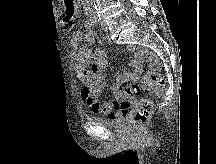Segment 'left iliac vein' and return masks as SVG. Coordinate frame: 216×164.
<instances>
[{
	"mask_svg": "<svg viewBox=\"0 0 216 164\" xmlns=\"http://www.w3.org/2000/svg\"><path fill=\"white\" fill-rule=\"evenodd\" d=\"M101 29L104 32H108V26H107V24L104 21H101Z\"/></svg>",
	"mask_w": 216,
	"mask_h": 164,
	"instance_id": "4c4485c4",
	"label": "left iliac vein"
}]
</instances>
